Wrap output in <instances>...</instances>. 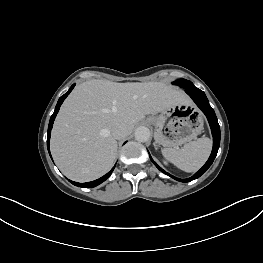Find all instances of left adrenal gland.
<instances>
[{"label":"left adrenal gland","mask_w":263,"mask_h":263,"mask_svg":"<svg viewBox=\"0 0 263 263\" xmlns=\"http://www.w3.org/2000/svg\"><path fill=\"white\" fill-rule=\"evenodd\" d=\"M154 147H155L156 150L158 149L156 144H154Z\"/></svg>","instance_id":"a2214340"}]
</instances>
